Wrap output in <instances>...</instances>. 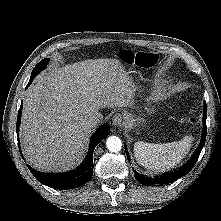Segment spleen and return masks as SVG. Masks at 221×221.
Listing matches in <instances>:
<instances>
[{
	"label": "spleen",
	"mask_w": 221,
	"mask_h": 221,
	"mask_svg": "<svg viewBox=\"0 0 221 221\" xmlns=\"http://www.w3.org/2000/svg\"><path fill=\"white\" fill-rule=\"evenodd\" d=\"M192 141V136L163 144L138 141L134 144V156L143 167L156 172H165L180 163L189 152Z\"/></svg>",
	"instance_id": "obj_1"
}]
</instances>
